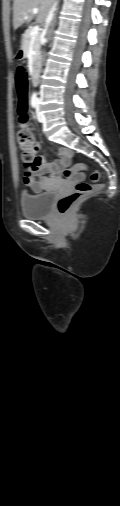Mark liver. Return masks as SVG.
Segmentation results:
<instances>
[{
    "instance_id": "obj_1",
    "label": "liver",
    "mask_w": 120,
    "mask_h": 506,
    "mask_svg": "<svg viewBox=\"0 0 120 506\" xmlns=\"http://www.w3.org/2000/svg\"><path fill=\"white\" fill-rule=\"evenodd\" d=\"M53 0H14L13 4V26L14 29L20 27L23 23H29L35 16L33 8H38L37 21L46 20Z\"/></svg>"
}]
</instances>
